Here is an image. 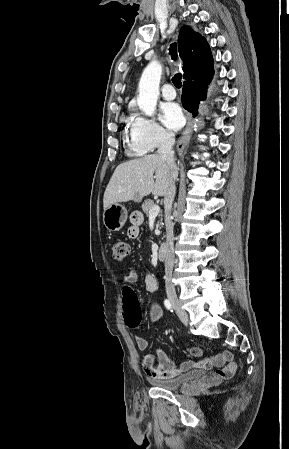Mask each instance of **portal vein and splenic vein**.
<instances>
[{"mask_svg":"<svg viewBox=\"0 0 289 449\" xmlns=\"http://www.w3.org/2000/svg\"><path fill=\"white\" fill-rule=\"evenodd\" d=\"M160 212V207L158 205H155L150 211H149V218H155L158 216Z\"/></svg>","mask_w":289,"mask_h":449,"instance_id":"18ae733b","label":"portal vein and splenic vein"}]
</instances>
